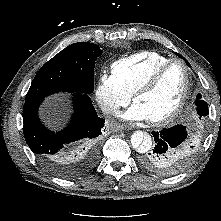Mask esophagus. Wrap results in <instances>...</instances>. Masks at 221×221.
I'll return each mask as SVG.
<instances>
[{
  "instance_id": "obj_1",
  "label": "esophagus",
  "mask_w": 221,
  "mask_h": 221,
  "mask_svg": "<svg viewBox=\"0 0 221 221\" xmlns=\"http://www.w3.org/2000/svg\"><path fill=\"white\" fill-rule=\"evenodd\" d=\"M111 127L115 131H122L123 129H126L124 125H120V124H113Z\"/></svg>"
}]
</instances>
